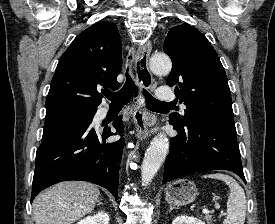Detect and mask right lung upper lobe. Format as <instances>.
<instances>
[{
  "label": "right lung upper lobe",
  "mask_w": 275,
  "mask_h": 224,
  "mask_svg": "<svg viewBox=\"0 0 275 224\" xmlns=\"http://www.w3.org/2000/svg\"><path fill=\"white\" fill-rule=\"evenodd\" d=\"M121 39L114 24L100 21L80 33L61 56L46 99V113L63 108L97 109L99 90L117 89Z\"/></svg>",
  "instance_id": "1"
}]
</instances>
